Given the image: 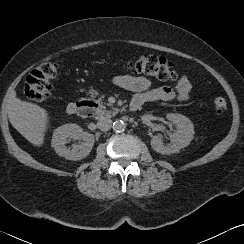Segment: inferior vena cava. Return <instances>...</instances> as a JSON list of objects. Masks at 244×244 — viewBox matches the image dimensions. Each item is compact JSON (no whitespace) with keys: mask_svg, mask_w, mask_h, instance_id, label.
Here are the masks:
<instances>
[{"mask_svg":"<svg viewBox=\"0 0 244 244\" xmlns=\"http://www.w3.org/2000/svg\"><path fill=\"white\" fill-rule=\"evenodd\" d=\"M97 127L101 131H108L112 127V120L109 118H102L97 122Z\"/></svg>","mask_w":244,"mask_h":244,"instance_id":"obj_1","label":"inferior vena cava"}]
</instances>
